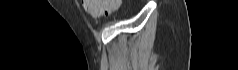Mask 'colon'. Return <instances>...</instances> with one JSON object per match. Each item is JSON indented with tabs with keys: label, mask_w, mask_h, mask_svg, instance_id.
I'll list each match as a JSON object with an SVG mask.
<instances>
[{
	"label": "colon",
	"mask_w": 238,
	"mask_h": 70,
	"mask_svg": "<svg viewBox=\"0 0 238 70\" xmlns=\"http://www.w3.org/2000/svg\"><path fill=\"white\" fill-rule=\"evenodd\" d=\"M121 0H84L86 10L94 17L108 16L111 12H118Z\"/></svg>",
	"instance_id": "1"
}]
</instances>
